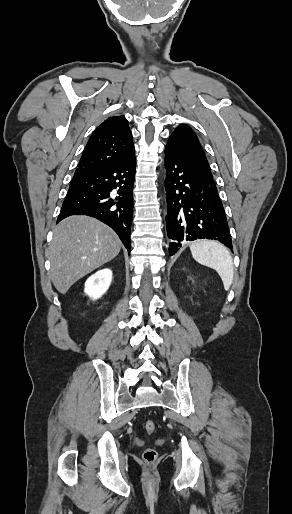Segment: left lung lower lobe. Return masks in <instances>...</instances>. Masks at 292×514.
Instances as JSON below:
<instances>
[{
	"mask_svg": "<svg viewBox=\"0 0 292 514\" xmlns=\"http://www.w3.org/2000/svg\"><path fill=\"white\" fill-rule=\"evenodd\" d=\"M169 254L185 241L212 239L232 249V239L213 178L192 166L181 152L165 148Z\"/></svg>",
	"mask_w": 292,
	"mask_h": 514,
	"instance_id": "1",
	"label": "left lung lower lobe"
}]
</instances>
